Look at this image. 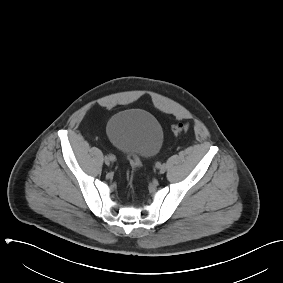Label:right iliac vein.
I'll return each mask as SVG.
<instances>
[{"label":"right iliac vein","mask_w":283,"mask_h":283,"mask_svg":"<svg viewBox=\"0 0 283 283\" xmlns=\"http://www.w3.org/2000/svg\"><path fill=\"white\" fill-rule=\"evenodd\" d=\"M104 161H105L106 165H110V163L112 162V160L109 156H105Z\"/></svg>","instance_id":"right-iliac-vein-1"}]
</instances>
